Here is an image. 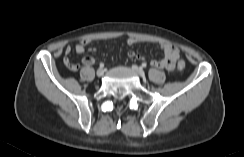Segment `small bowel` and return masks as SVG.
Masks as SVG:
<instances>
[{"mask_svg":"<svg viewBox=\"0 0 244 157\" xmlns=\"http://www.w3.org/2000/svg\"><path fill=\"white\" fill-rule=\"evenodd\" d=\"M140 40L134 37H130L127 39V44L129 46L135 45L139 43ZM160 48L163 50L164 56L160 60H150V65L154 66L158 69H166V70H173L175 68L176 62L180 57V52L177 47L170 43H161ZM89 47L90 51H94L95 47L92 46V41L89 39L81 40L75 47L77 53H83L85 48ZM72 48L67 46L65 49L66 56L63 59L64 64L66 67L72 71H76L78 69V65L71 63L68 55L70 54ZM128 56L133 59L141 60L143 59L142 56L137 55L135 52L130 51ZM82 63L85 66H91L95 63V58L88 54L83 57Z\"/></svg>","mask_w":244,"mask_h":157,"instance_id":"obj_1","label":"small bowel"}]
</instances>
